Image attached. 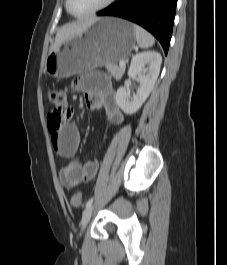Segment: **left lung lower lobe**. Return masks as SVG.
I'll use <instances>...</instances> for the list:
<instances>
[{
    "instance_id": "obj_1",
    "label": "left lung lower lobe",
    "mask_w": 227,
    "mask_h": 265,
    "mask_svg": "<svg viewBox=\"0 0 227 265\" xmlns=\"http://www.w3.org/2000/svg\"><path fill=\"white\" fill-rule=\"evenodd\" d=\"M177 0H116L97 13L117 16L137 23L152 33L168 52Z\"/></svg>"
}]
</instances>
